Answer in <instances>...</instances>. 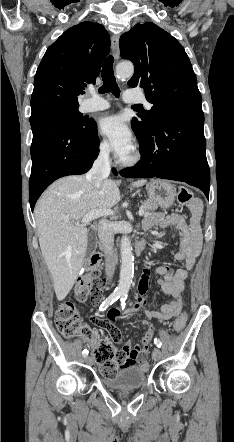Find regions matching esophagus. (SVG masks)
<instances>
[{"label": "esophagus", "instance_id": "obj_1", "mask_svg": "<svg viewBox=\"0 0 234 442\" xmlns=\"http://www.w3.org/2000/svg\"><path fill=\"white\" fill-rule=\"evenodd\" d=\"M111 47H112V54L115 58V60L119 59L120 56V50H119V35H113L111 38Z\"/></svg>", "mask_w": 234, "mask_h": 442}]
</instances>
